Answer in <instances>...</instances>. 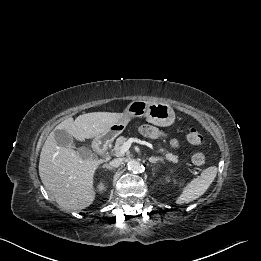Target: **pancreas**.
Returning <instances> with one entry per match:
<instances>
[{"label": "pancreas", "mask_w": 261, "mask_h": 261, "mask_svg": "<svg viewBox=\"0 0 261 261\" xmlns=\"http://www.w3.org/2000/svg\"><path fill=\"white\" fill-rule=\"evenodd\" d=\"M127 141V138L124 136H120L116 139L115 145L112 149V154L118 156L120 152V148L122 147L123 143ZM159 152L165 156V159L168 161H172L173 163L178 162V156L173 155L172 153L168 152L166 149L160 148Z\"/></svg>", "instance_id": "obj_1"}]
</instances>
